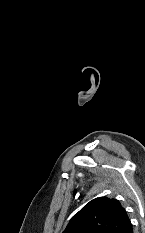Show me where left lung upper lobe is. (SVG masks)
Instances as JSON below:
<instances>
[{
	"label": "left lung upper lobe",
	"mask_w": 145,
	"mask_h": 233,
	"mask_svg": "<svg viewBox=\"0 0 145 233\" xmlns=\"http://www.w3.org/2000/svg\"><path fill=\"white\" fill-rule=\"evenodd\" d=\"M63 233H133V225L118 200L99 197L75 214Z\"/></svg>",
	"instance_id": "left-lung-upper-lobe-1"
}]
</instances>
